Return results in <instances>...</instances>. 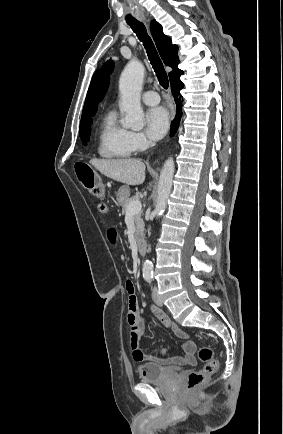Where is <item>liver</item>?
I'll return each instance as SVG.
<instances>
[{"label":"liver","instance_id":"obj_1","mask_svg":"<svg viewBox=\"0 0 283 434\" xmlns=\"http://www.w3.org/2000/svg\"><path fill=\"white\" fill-rule=\"evenodd\" d=\"M90 164L108 178L127 185H141L145 164L139 159H91Z\"/></svg>","mask_w":283,"mask_h":434}]
</instances>
